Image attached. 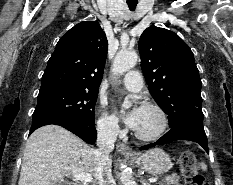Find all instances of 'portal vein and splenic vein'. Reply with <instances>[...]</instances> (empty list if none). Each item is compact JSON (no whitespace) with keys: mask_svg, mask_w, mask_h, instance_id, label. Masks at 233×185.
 I'll use <instances>...</instances> for the list:
<instances>
[{"mask_svg":"<svg viewBox=\"0 0 233 185\" xmlns=\"http://www.w3.org/2000/svg\"><path fill=\"white\" fill-rule=\"evenodd\" d=\"M73 177L75 178V180L81 181V182H92V180H93V177L90 174H85V173L74 174ZM148 181L150 183H155L158 181V179L157 178H149Z\"/></svg>","mask_w":233,"mask_h":185,"instance_id":"18ae733b","label":"portal vein and splenic vein"}]
</instances>
